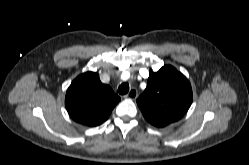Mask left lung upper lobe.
Segmentation results:
<instances>
[{"label":"left lung upper lobe","mask_w":249,"mask_h":165,"mask_svg":"<svg viewBox=\"0 0 249 165\" xmlns=\"http://www.w3.org/2000/svg\"><path fill=\"white\" fill-rule=\"evenodd\" d=\"M192 88L187 78L170 65L152 72L147 87L137 99L145 119L156 127L178 121L192 103Z\"/></svg>","instance_id":"5c2ea615"}]
</instances>
